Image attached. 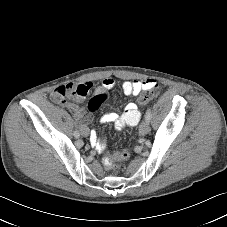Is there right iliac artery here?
Masks as SVG:
<instances>
[{
  "mask_svg": "<svg viewBox=\"0 0 227 227\" xmlns=\"http://www.w3.org/2000/svg\"><path fill=\"white\" fill-rule=\"evenodd\" d=\"M80 136V134H79V132L76 130V131H74V137L75 138H78Z\"/></svg>",
  "mask_w": 227,
  "mask_h": 227,
  "instance_id": "1",
  "label": "right iliac artery"
}]
</instances>
